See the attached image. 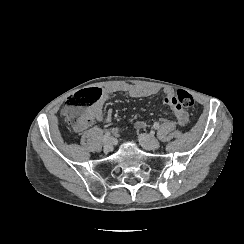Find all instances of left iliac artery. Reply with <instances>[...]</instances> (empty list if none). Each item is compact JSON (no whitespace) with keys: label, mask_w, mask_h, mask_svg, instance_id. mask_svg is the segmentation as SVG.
<instances>
[{"label":"left iliac artery","mask_w":244,"mask_h":244,"mask_svg":"<svg viewBox=\"0 0 244 244\" xmlns=\"http://www.w3.org/2000/svg\"><path fill=\"white\" fill-rule=\"evenodd\" d=\"M159 126H160V125H159L158 122H155L154 125H153V127H154L155 130L159 129Z\"/></svg>","instance_id":"44dca946"}]
</instances>
